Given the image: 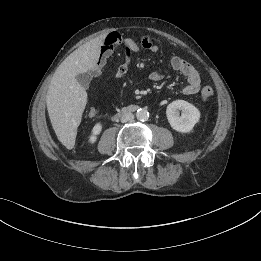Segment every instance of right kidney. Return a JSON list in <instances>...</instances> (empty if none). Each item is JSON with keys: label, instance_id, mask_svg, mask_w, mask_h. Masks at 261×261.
I'll use <instances>...</instances> for the list:
<instances>
[{"label": "right kidney", "instance_id": "ca27d5eb", "mask_svg": "<svg viewBox=\"0 0 261 261\" xmlns=\"http://www.w3.org/2000/svg\"><path fill=\"white\" fill-rule=\"evenodd\" d=\"M101 130H102V124L100 122L96 123L94 125V127L92 128V132H91V135L89 137V142L91 144L96 142L97 135L100 134Z\"/></svg>", "mask_w": 261, "mask_h": 261}]
</instances>
